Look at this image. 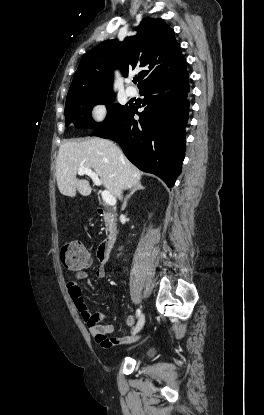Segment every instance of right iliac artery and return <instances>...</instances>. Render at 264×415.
Listing matches in <instances>:
<instances>
[{"label": "right iliac artery", "instance_id": "obj_1", "mask_svg": "<svg viewBox=\"0 0 264 415\" xmlns=\"http://www.w3.org/2000/svg\"><path fill=\"white\" fill-rule=\"evenodd\" d=\"M140 315H141V310H140V309H137V311H136V316H137V317H140Z\"/></svg>", "mask_w": 264, "mask_h": 415}]
</instances>
